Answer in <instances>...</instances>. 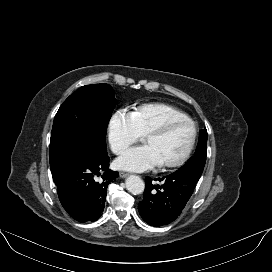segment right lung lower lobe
Instances as JSON below:
<instances>
[{"label": "right lung lower lobe", "mask_w": 272, "mask_h": 272, "mask_svg": "<svg viewBox=\"0 0 272 272\" xmlns=\"http://www.w3.org/2000/svg\"><path fill=\"white\" fill-rule=\"evenodd\" d=\"M109 161L107 152L80 154L52 172L59 200L75 220L95 221L102 215L107 187L119 176L109 169Z\"/></svg>", "instance_id": "obj_1"}]
</instances>
